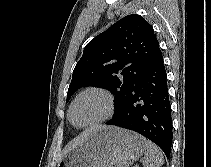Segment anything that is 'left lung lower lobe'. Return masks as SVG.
<instances>
[{"label": "left lung lower lobe", "mask_w": 211, "mask_h": 167, "mask_svg": "<svg viewBox=\"0 0 211 167\" xmlns=\"http://www.w3.org/2000/svg\"><path fill=\"white\" fill-rule=\"evenodd\" d=\"M106 124L138 132L171 154L172 118L167 74L159 49L147 70L124 98L120 111Z\"/></svg>", "instance_id": "obj_1"}]
</instances>
